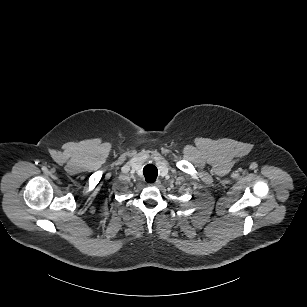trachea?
<instances>
[{"label": "trachea", "instance_id": "trachea-1", "mask_svg": "<svg viewBox=\"0 0 307 307\" xmlns=\"http://www.w3.org/2000/svg\"><path fill=\"white\" fill-rule=\"evenodd\" d=\"M143 174L148 183H153L157 178L158 170L154 165L149 164L144 167Z\"/></svg>", "mask_w": 307, "mask_h": 307}]
</instances>
